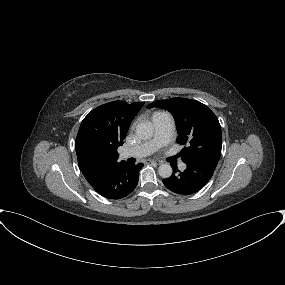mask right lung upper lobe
I'll use <instances>...</instances> for the list:
<instances>
[{"mask_svg":"<svg viewBox=\"0 0 285 285\" xmlns=\"http://www.w3.org/2000/svg\"><path fill=\"white\" fill-rule=\"evenodd\" d=\"M143 105L144 102L113 101L95 108L83 119L75 150L86 180L118 165L117 149L123 144L132 119Z\"/></svg>","mask_w":285,"mask_h":285,"instance_id":"right-lung-upper-lobe-1","label":"right lung upper lobe"}]
</instances>
